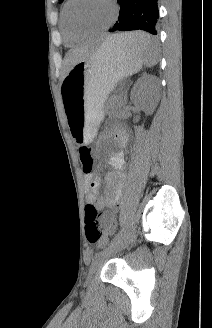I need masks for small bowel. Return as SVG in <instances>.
I'll use <instances>...</instances> for the list:
<instances>
[{
  "label": "small bowel",
  "mask_w": 212,
  "mask_h": 328,
  "mask_svg": "<svg viewBox=\"0 0 212 328\" xmlns=\"http://www.w3.org/2000/svg\"><path fill=\"white\" fill-rule=\"evenodd\" d=\"M113 171L107 176L108 191L99 196L100 181L92 172L84 173V180L88 190V201L98 209H105L100 222L107 235L113 234L116 227V215L120 206L122 189L125 180V157L123 153H117L109 159Z\"/></svg>",
  "instance_id": "c3829d8e"
}]
</instances>
